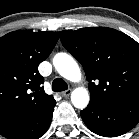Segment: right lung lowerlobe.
Returning <instances> with one entry per match:
<instances>
[{"instance_id": "right-lung-lower-lobe-1", "label": "right lung lower lobe", "mask_w": 139, "mask_h": 139, "mask_svg": "<svg viewBox=\"0 0 139 139\" xmlns=\"http://www.w3.org/2000/svg\"><path fill=\"white\" fill-rule=\"evenodd\" d=\"M56 101H52L41 111L29 119L17 123L0 132L7 139H38L47 131L55 107Z\"/></svg>"}]
</instances>
